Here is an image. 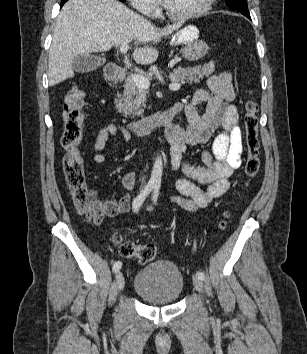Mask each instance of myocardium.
<instances>
[{
  "label": "myocardium",
  "instance_id": "myocardium-1",
  "mask_svg": "<svg viewBox=\"0 0 307 354\" xmlns=\"http://www.w3.org/2000/svg\"><path fill=\"white\" fill-rule=\"evenodd\" d=\"M216 0H205L203 5L195 11L185 14H175L171 12L165 5V14L174 21H186L194 18H198L210 11Z\"/></svg>",
  "mask_w": 307,
  "mask_h": 354
}]
</instances>
